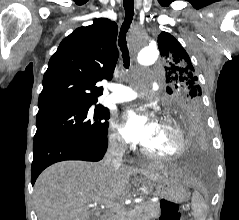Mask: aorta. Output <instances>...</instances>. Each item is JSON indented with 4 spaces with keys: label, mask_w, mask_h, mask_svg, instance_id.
Returning a JSON list of instances; mask_svg holds the SVG:
<instances>
[{
    "label": "aorta",
    "mask_w": 239,
    "mask_h": 220,
    "mask_svg": "<svg viewBox=\"0 0 239 220\" xmlns=\"http://www.w3.org/2000/svg\"><path fill=\"white\" fill-rule=\"evenodd\" d=\"M158 57V50L155 46H142L140 53H138V62L140 65L148 66L156 61Z\"/></svg>",
    "instance_id": "762f6f07"
}]
</instances>
